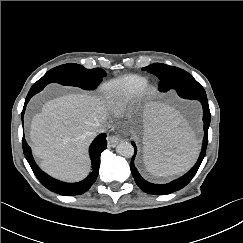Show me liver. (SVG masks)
<instances>
[{
    "label": "liver",
    "mask_w": 243,
    "mask_h": 243,
    "mask_svg": "<svg viewBox=\"0 0 243 243\" xmlns=\"http://www.w3.org/2000/svg\"><path fill=\"white\" fill-rule=\"evenodd\" d=\"M111 103L90 93L47 101L32 118L30 139L41 168L64 181L83 179L90 168L88 147L106 121Z\"/></svg>",
    "instance_id": "liver-1"
}]
</instances>
